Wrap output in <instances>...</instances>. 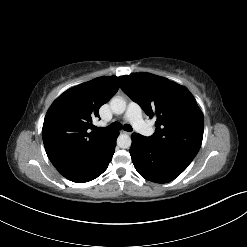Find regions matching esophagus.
<instances>
[{
    "instance_id": "obj_1",
    "label": "esophagus",
    "mask_w": 247,
    "mask_h": 247,
    "mask_svg": "<svg viewBox=\"0 0 247 247\" xmlns=\"http://www.w3.org/2000/svg\"><path fill=\"white\" fill-rule=\"evenodd\" d=\"M121 133H124V134H128V135H131V132H127V131H121Z\"/></svg>"
}]
</instances>
